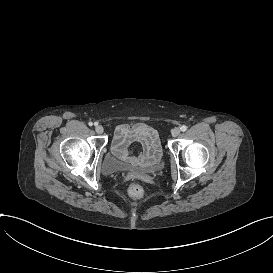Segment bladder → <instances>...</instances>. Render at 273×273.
<instances>
[{"mask_svg":"<svg viewBox=\"0 0 273 273\" xmlns=\"http://www.w3.org/2000/svg\"><path fill=\"white\" fill-rule=\"evenodd\" d=\"M163 167V160L161 157L157 159L156 162L147 166L143 170L145 172L151 173L156 172L162 169ZM102 170L106 175H113L121 172H126L131 170V166L126 162L118 160L112 154L108 153L102 163Z\"/></svg>","mask_w":273,"mask_h":273,"instance_id":"bladder-1","label":"bladder"}]
</instances>
